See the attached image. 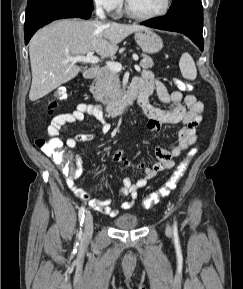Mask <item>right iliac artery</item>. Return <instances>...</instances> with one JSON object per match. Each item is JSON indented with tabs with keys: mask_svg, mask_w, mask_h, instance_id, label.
I'll return each mask as SVG.
<instances>
[{
	"mask_svg": "<svg viewBox=\"0 0 243 289\" xmlns=\"http://www.w3.org/2000/svg\"><path fill=\"white\" fill-rule=\"evenodd\" d=\"M84 213H85V208L82 206L79 209V213H78L80 225H82L84 222Z\"/></svg>",
	"mask_w": 243,
	"mask_h": 289,
	"instance_id": "right-iliac-artery-1",
	"label": "right iliac artery"
}]
</instances>
